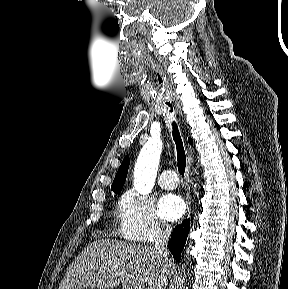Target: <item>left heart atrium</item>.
Masks as SVG:
<instances>
[{
  "mask_svg": "<svg viewBox=\"0 0 288 289\" xmlns=\"http://www.w3.org/2000/svg\"><path fill=\"white\" fill-rule=\"evenodd\" d=\"M184 201L176 194H165L158 203L159 215L169 221L180 218L185 212Z\"/></svg>",
  "mask_w": 288,
  "mask_h": 289,
  "instance_id": "39dd6f15",
  "label": "left heart atrium"
}]
</instances>
